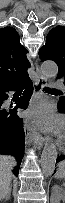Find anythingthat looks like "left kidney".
<instances>
[{
	"label": "left kidney",
	"mask_w": 65,
	"mask_h": 203,
	"mask_svg": "<svg viewBox=\"0 0 65 203\" xmlns=\"http://www.w3.org/2000/svg\"><path fill=\"white\" fill-rule=\"evenodd\" d=\"M56 195H57V198H58L60 201H62V202L65 201V194H64V190H63V189L58 188V192L56 193ZM52 203H53V202H52Z\"/></svg>",
	"instance_id": "1"
}]
</instances>
